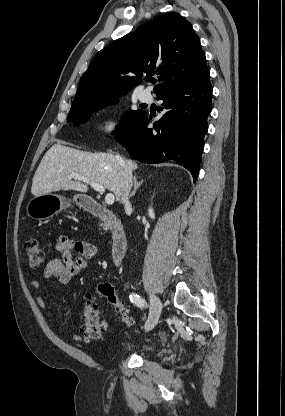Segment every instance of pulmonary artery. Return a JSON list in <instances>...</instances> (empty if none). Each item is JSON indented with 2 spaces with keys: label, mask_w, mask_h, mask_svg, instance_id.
Returning <instances> with one entry per match:
<instances>
[{
  "label": "pulmonary artery",
  "mask_w": 285,
  "mask_h": 416,
  "mask_svg": "<svg viewBox=\"0 0 285 416\" xmlns=\"http://www.w3.org/2000/svg\"><path fill=\"white\" fill-rule=\"evenodd\" d=\"M139 100L143 103L152 104L153 96L149 91L142 89L141 93L139 94Z\"/></svg>",
  "instance_id": "1"
}]
</instances>
